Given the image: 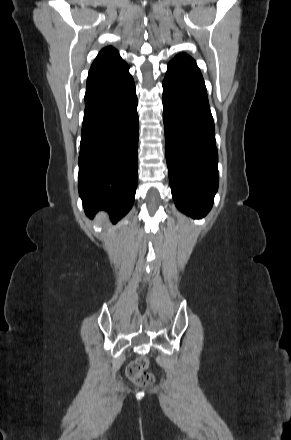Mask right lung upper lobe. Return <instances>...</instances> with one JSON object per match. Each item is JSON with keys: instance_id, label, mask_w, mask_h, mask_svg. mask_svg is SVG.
Segmentation results:
<instances>
[{"instance_id": "right-lung-upper-lobe-1", "label": "right lung upper lobe", "mask_w": 291, "mask_h": 440, "mask_svg": "<svg viewBox=\"0 0 291 440\" xmlns=\"http://www.w3.org/2000/svg\"><path fill=\"white\" fill-rule=\"evenodd\" d=\"M126 65L118 51L112 46H108L103 48L96 57L90 68L89 75L116 71Z\"/></svg>"}]
</instances>
